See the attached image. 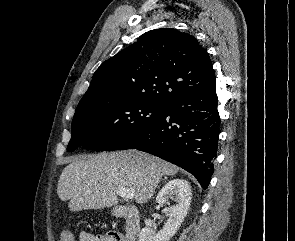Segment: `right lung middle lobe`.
<instances>
[{"label":"right lung middle lobe","mask_w":295,"mask_h":241,"mask_svg":"<svg viewBox=\"0 0 295 241\" xmlns=\"http://www.w3.org/2000/svg\"><path fill=\"white\" fill-rule=\"evenodd\" d=\"M162 107L112 93L82 98L72 121L67 151L79 146L95 151L116 150L125 139L158 117Z\"/></svg>","instance_id":"dd1d6c3e"}]
</instances>
